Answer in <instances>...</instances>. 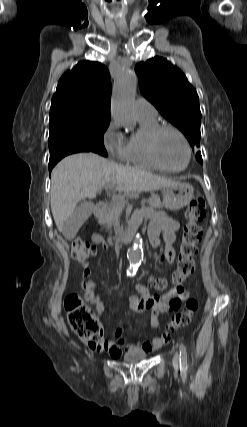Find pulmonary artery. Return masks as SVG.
<instances>
[{
	"label": "pulmonary artery",
	"mask_w": 247,
	"mask_h": 427,
	"mask_svg": "<svg viewBox=\"0 0 247 427\" xmlns=\"http://www.w3.org/2000/svg\"><path fill=\"white\" fill-rule=\"evenodd\" d=\"M135 113L137 118H155L157 116L156 108L143 97L136 100Z\"/></svg>",
	"instance_id": "obj_1"
}]
</instances>
